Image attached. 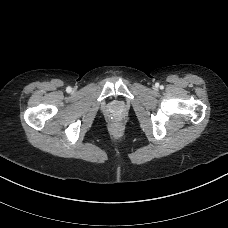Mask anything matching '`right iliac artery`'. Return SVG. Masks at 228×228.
<instances>
[{
    "mask_svg": "<svg viewBox=\"0 0 228 228\" xmlns=\"http://www.w3.org/2000/svg\"><path fill=\"white\" fill-rule=\"evenodd\" d=\"M71 90H72L71 87H67L66 89L67 92H71Z\"/></svg>",
    "mask_w": 228,
    "mask_h": 228,
    "instance_id": "right-iliac-artery-1",
    "label": "right iliac artery"
}]
</instances>
